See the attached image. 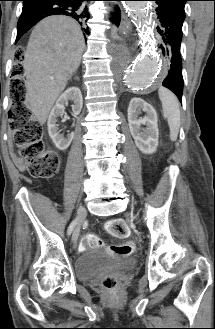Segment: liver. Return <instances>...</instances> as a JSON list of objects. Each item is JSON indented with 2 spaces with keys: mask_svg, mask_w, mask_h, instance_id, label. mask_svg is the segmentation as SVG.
<instances>
[{
  "mask_svg": "<svg viewBox=\"0 0 215 329\" xmlns=\"http://www.w3.org/2000/svg\"><path fill=\"white\" fill-rule=\"evenodd\" d=\"M85 43L79 24L57 15L32 30L24 56L26 100L37 121L44 124L57 97L78 69Z\"/></svg>",
  "mask_w": 215,
  "mask_h": 329,
  "instance_id": "obj_1",
  "label": "liver"
}]
</instances>
